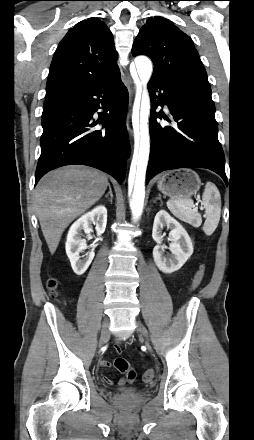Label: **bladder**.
Instances as JSON below:
<instances>
[{
    "mask_svg": "<svg viewBox=\"0 0 254 440\" xmlns=\"http://www.w3.org/2000/svg\"><path fill=\"white\" fill-rule=\"evenodd\" d=\"M122 391L131 393V392H135L136 389L135 388H124V389H122Z\"/></svg>",
    "mask_w": 254,
    "mask_h": 440,
    "instance_id": "31cf9c89",
    "label": "bladder"
}]
</instances>
